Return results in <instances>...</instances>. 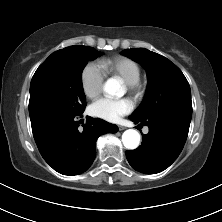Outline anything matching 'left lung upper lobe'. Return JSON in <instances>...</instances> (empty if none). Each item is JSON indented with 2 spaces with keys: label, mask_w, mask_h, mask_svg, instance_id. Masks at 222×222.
I'll list each match as a JSON object with an SVG mask.
<instances>
[{
  "label": "left lung upper lobe",
  "mask_w": 222,
  "mask_h": 222,
  "mask_svg": "<svg viewBox=\"0 0 222 222\" xmlns=\"http://www.w3.org/2000/svg\"><path fill=\"white\" fill-rule=\"evenodd\" d=\"M122 54L142 64L148 75L144 100L133 112L132 117L149 118L167 112H177L191 120L190 86L175 64L145 48L126 49Z\"/></svg>",
  "instance_id": "1"
}]
</instances>
